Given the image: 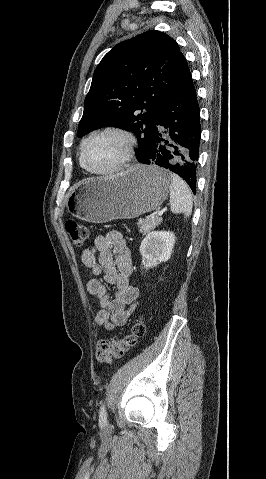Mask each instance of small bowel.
Masks as SVG:
<instances>
[{
  "label": "small bowel",
  "mask_w": 266,
  "mask_h": 479,
  "mask_svg": "<svg viewBox=\"0 0 266 479\" xmlns=\"http://www.w3.org/2000/svg\"><path fill=\"white\" fill-rule=\"evenodd\" d=\"M81 258L93 276L85 288L98 299L95 323L110 330L125 325L136 307L139 289L129 283L133 264L123 235L118 231L98 235ZM106 284L113 286V296Z\"/></svg>",
  "instance_id": "small-bowel-1"
}]
</instances>
